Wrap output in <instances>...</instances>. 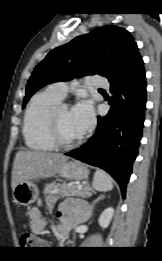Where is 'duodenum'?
Returning <instances> with one entry per match:
<instances>
[{
  "instance_id": "obj_1",
  "label": "duodenum",
  "mask_w": 162,
  "mask_h": 261,
  "mask_svg": "<svg viewBox=\"0 0 162 261\" xmlns=\"http://www.w3.org/2000/svg\"><path fill=\"white\" fill-rule=\"evenodd\" d=\"M60 234L62 236H67L68 235V229L66 227H60Z\"/></svg>"
}]
</instances>
